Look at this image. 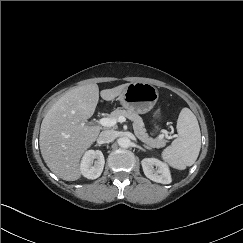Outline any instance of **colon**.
<instances>
[{"mask_svg":"<svg viewBox=\"0 0 243 243\" xmlns=\"http://www.w3.org/2000/svg\"><path fill=\"white\" fill-rule=\"evenodd\" d=\"M160 131V127L158 125H155L153 133L157 134Z\"/></svg>","mask_w":243,"mask_h":243,"instance_id":"obj_1","label":"colon"}]
</instances>
